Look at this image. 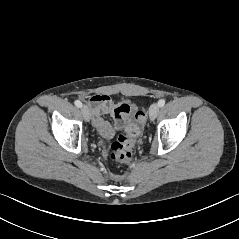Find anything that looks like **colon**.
I'll list each match as a JSON object with an SVG mask.
<instances>
[{
	"mask_svg": "<svg viewBox=\"0 0 239 239\" xmlns=\"http://www.w3.org/2000/svg\"><path fill=\"white\" fill-rule=\"evenodd\" d=\"M144 120V113L137 112L135 120L126 126L124 134L119 135L111 145L110 157L112 160L125 163L131 159L133 149L142 133Z\"/></svg>",
	"mask_w": 239,
	"mask_h": 239,
	"instance_id": "5ec220e1",
	"label": "colon"
}]
</instances>
